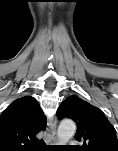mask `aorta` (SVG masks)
Here are the masks:
<instances>
[{"label":"aorta","instance_id":"762f6f07","mask_svg":"<svg viewBox=\"0 0 118 151\" xmlns=\"http://www.w3.org/2000/svg\"><path fill=\"white\" fill-rule=\"evenodd\" d=\"M76 132V124L72 120H63L57 131L59 145H66Z\"/></svg>","mask_w":118,"mask_h":151}]
</instances>
